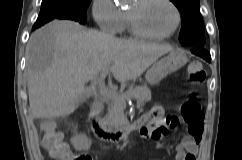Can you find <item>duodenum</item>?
Listing matches in <instances>:
<instances>
[{"instance_id":"obj_1","label":"duodenum","mask_w":242,"mask_h":160,"mask_svg":"<svg viewBox=\"0 0 242 160\" xmlns=\"http://www.w3.org/2000/svg\"><path fill=\"white\" fill-rule=\"evenodd\" d=\"M101 109V103L95 101L89 109V120L96 138L103 142L115 143L123 140L129 134L139 129L146 120V118H141L119 129H113L101 119Z\"/></svg>"}]
</instances>
